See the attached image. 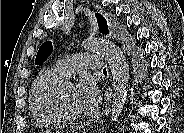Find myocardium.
Masks as SVG:
<instances>
[{"instance_id": "obj_1", "label": "myocardium", "mask_w": 184, "mask_h": 133, "mask_svg": "<svg viewBox=\"0 0 184 133\" xmlns=\"http://www.w3.org/2000/svg\"><path fill=\"white\" fill-rule=\"evenodd\" d=\"M64 85L65 84H61L56 91L55 104H56L57 111H58V113L61 116L63 121L77 122V121L82 119V116L72 115L66 110L64 102H63Z\"/></svg>"}]
</instances>
